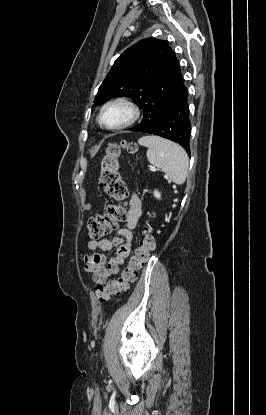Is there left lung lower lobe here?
Instances as JSON below:
<instances>
[{"mask_svg": "<svg viewBox=\"0 0 266 415\" xmlns=\"http://www.w3.org/2000/svg\"><path fill=\"white\" fill-rule=\"evenodd\" d=\"M190 121L188 90H182L166 112L152 125L140 132L159 135L179 143L190 155Z\"/></svg>", "mask_w": 266, "mask_h": 415, "instance_id": "0a47b994", "label": "left lung lower lobe"}]
</instances>
